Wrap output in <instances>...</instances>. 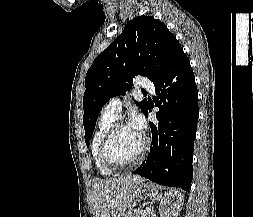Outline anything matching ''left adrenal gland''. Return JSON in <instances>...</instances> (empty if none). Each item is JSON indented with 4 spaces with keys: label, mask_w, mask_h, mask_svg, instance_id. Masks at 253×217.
<instances>
[{
    "label": "left adrenal gland",
    "mask_w": 253,
    "mask_h": 217,
    "mask_svg": "<svg viewBox=\"0 0 253 217\" xmlns=\"http://www.w3.org/2000/svg\"><path fill=\"white\" fill-rule=\"evenodd\" d=\"M158 199H159V196H158ZM149 216L150 217H155V210H154V208H151Z\"/></svg>",
    "instance_id": "1"
}]
</instances>
